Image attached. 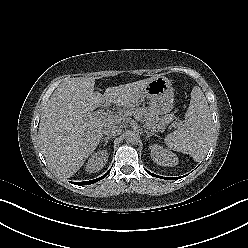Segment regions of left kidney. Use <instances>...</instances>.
Returning <instances> with one entry per match:
<instances>
[{
  "label": "left kidney",
  "mask_w": 248,
  "mask_h": 248,
  "mask_svg": "<svg viewBox=\"0 0 248 248\" xmlns=\"http://www.w3.org/2000/svg\"><path fill=\"white\" fill-rule=\"evenodd\" d=\"M152 160L160 166H176L178 164L177 156L171 151L164 149L158 144L150 146Z\"/></svg>",
  "instance_id": "5707ae66"
}]
</instances>
